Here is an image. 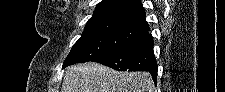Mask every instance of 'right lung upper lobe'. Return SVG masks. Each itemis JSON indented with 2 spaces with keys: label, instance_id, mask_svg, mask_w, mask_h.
Here are the masks:
<instances>
[{
  "label": "right lung upper lobe",
  "instance_id": "cb5924a9",
  "mask_svg": "<svg viewBox=\"0 0 225 92\" xmlns=\"http://www.w3.org/2000/svg\"><path fill=\"white\" fill-rule=\"evenodd\" d=\"M145 17L140 0H102L86 25L119 23L142 30L146 34L150 28Z\"/></svg>",
  "mask_w": 225,
  "mask_h": 92
}]
</instances>
